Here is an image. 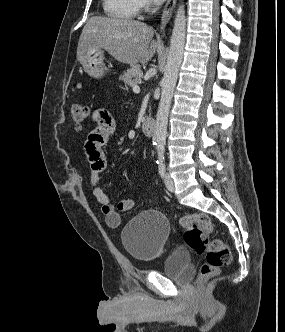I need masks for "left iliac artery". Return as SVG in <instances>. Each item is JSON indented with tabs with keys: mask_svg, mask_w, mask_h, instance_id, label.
Wrapping results in <instances>:
<instances>
[{
	"mask_svg": "<svg viewBox=\"0 0 285 332\" xmlns=\"http://www.w3.org/2000/svg\"><path fill=\"white\" fill-rule=\"evenodd\" d=\"M157 165H158V170H159V174L161 175V177H163L165 175V163L164 161H157Z\"/></svg>",
	"mask_w": 285,
	"mask_h": 332,
	"instance_id": "44dca946",
	"label": "left iliac artery"
}]
</instances>
